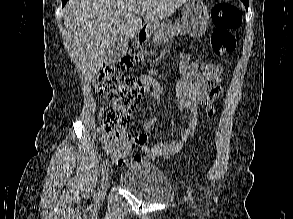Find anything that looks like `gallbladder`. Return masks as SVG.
I'll list each match as a JSON object with an SVG mask.
<instances>
[{"instance_id": "gallbladder-1", "label": "gallbladder", "mask_w": 293, "mask_h": 219, "mask_svg": "<svg viewBox=\"0 0 293 219\" xmlns=\"http://www.w3.org/2000/svg\"><path fill=\"white\" fill-rule=\"evenodd\" d=\"M128 44L129 39L124 36L114 38L106 50L104 63L109 66L118 63L126 55Z\"/></svg>"}]
</instances>
